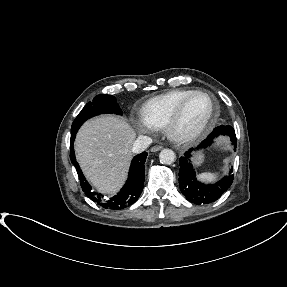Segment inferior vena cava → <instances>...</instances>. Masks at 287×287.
Returning a JSON list of instances; mask_svg holds the SVG:
<instances>
[{
	"label": "inferior vena cava",
	"mask_w": 287,
	"mask_h": 287,
	"mask_svg": "<svg viewBox=\"0 0 287 287\" xmlns=\"http://www.w3.org/2000/svg\"><path fill=\"white\" fill-rule=\"evenodd\" d=\"M152 143V139L148 136L140 135L133 143L131 151L133 153H140L147 149Z\"/></svg>",
	"instance_id": "inferior-vena-cava-1"
}]
</instances>
